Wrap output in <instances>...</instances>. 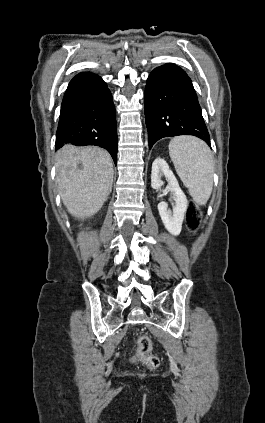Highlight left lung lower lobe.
<instances>
[{
    "mask_svg": "<svg viewBox=\"0 0 265 423\" xmlns=\"http://www.w3.org/2000/svg\"><path fill=\"white\" fill-rule=\"evenodd\" d=\"M149 148L164 137L193 135L210 146V137L191 79L168 63L149 75L144 105Z\"/></svg>",
    "mask_w": 265,
    "mask_h": 423,
    "instance_id": "obj_1",
    "label": "left lung lower lobe"
}]
</instances>
